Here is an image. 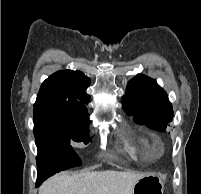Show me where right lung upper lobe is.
Returning a JSON list of instances; mask_svg holds the SVG:
<instances>
[{
  "label": "right lung upper lobe",
  "mask_w": 201,
  "mask_h": 194,
  "mask_svg": "<svg viewBox=\"0 0 201 194\" xmlns=\"http://www.w3.org/2000/svg\"><path fill=\"white\" fill-rule=\"evenodd\" d=\"M90 79L80 71L63 70L54 73L41 85L35 106L55 104L64 107L76 118L89 119L84 104L89 102L86 89Z\"/></svg>",
  "instance_id": "1"
}]
</instances>
